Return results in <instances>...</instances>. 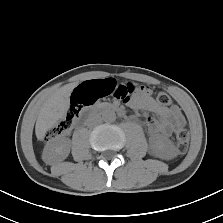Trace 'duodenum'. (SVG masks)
Listing matches in <instances>:
<instances>
[{
    "label": "duodenum",
    "mask_w": 223,
    "mask_h": 223,
    "mask_svg": "<svg viewBox=\"0 0 223 223\" xmlns=\"http://www.w3.org/2000/svg\"><path fill=\"white\" fill-rule=\"evenodd\" d=\"M91 112H102V111H115L117 112L119 115H123L124 111L123 109L117 105V104H102L99 105L97 107H95L94 109L90 110ZM86 119H82L80 122L77 123V126H81V124L85 121Z\"/></svg>",
    "instance_id": "410a0bca"
}]
</instances>
